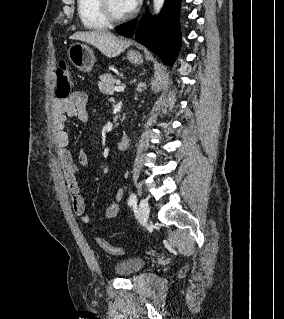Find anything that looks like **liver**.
Here are the masks:
<instances>
[{"label": "liver", "instance_id": "1", "mask_svg": "<svg viewBox=\"0 0 284 319\" xmlns=\"http://www.w3.org/2000/svg\"><path fill=\"white\" fill-rule=\"evenodd\" d=\"M70 39L89 43L99 49L108 58L118 56L132 43L126 39H119L107 30L79 31L74 33Z\"/></svg>", "mask_w": 284, "mask_h": 319}]
</instances>
